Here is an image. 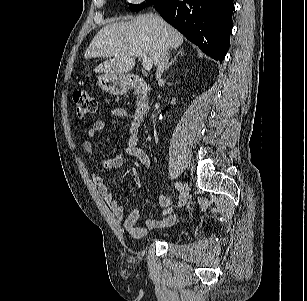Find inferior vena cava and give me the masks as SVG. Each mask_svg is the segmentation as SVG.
Returning <instances> with one entry per match:
<instances>
[{
    "mask_svg": "<svg viewBox=\"0 0 307 301\" xmlns=\"http://www.w3.org/2000/svg\"><path fill=\"white\" fill-rule=\"evenodd\" d=\"M168 50H169V45L164 44L159 55V62L157 65V71H156V79L160 80L161 74L163 73L164 69L167 66L168 62Z\"/></svg>",
    "mask_w": 307,
    "mask_h": 301,
    "instance_id": "602c4592",
    "label": "inferior vena cava"
}]
</instances>
